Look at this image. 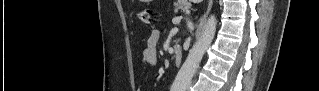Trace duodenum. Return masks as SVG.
Listing matches in <instances>:
<instances>
[{"label":"duodenum","instance_id":"1","mask_svg":"<svg viewBox=\"0 0 319 91\" xmlns=\"http://www.w3.org/2000/svg\"><path fill=\"white\" fill-rule=\"evenodd\" d=\"M172 50H173V55L175 57V61L177 64L181 63L182 61V49L179 45H174L172 47Z\"/></svg>","mask_w":319,"mask_h":91}]
</instances>
